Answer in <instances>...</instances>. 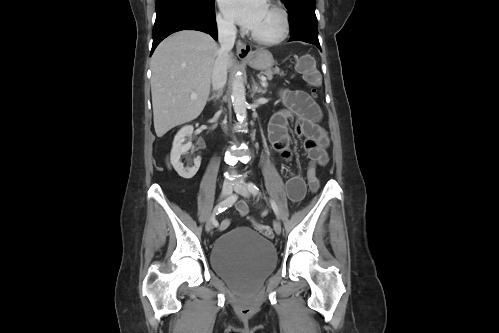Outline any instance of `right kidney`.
Returning <instances> with one entry per match:
<instances>
[{
	"label": "right kidney",
	"instance_id": "obj_1",
	"mask_svg": "<svg viewBox=\"0 0 499 333\" xmlns=\"http://www.w3.org/2000/svg\"><path fill=\"white\" fill-rule=\"evenodd\" d=\"M193 126L187 125L181 128L176 134L171 150L170 160L176 172L184 179H191L199 170L201 165V157L198 156L193 160L194 165L191 167H184L180 161L181 155L186 154L190 149H193L192 143L189 141L183 144L186 137H191L193 134Z\"/></svg>",
	"mask_w": 499,
	"mask_h": 333
}]
</instances>
